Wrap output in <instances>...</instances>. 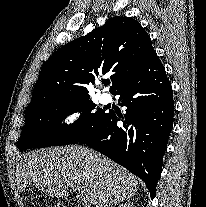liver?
I'll use <instances>...</instances> for the list:
<instances>
[{
  "mask_svg": "<svg viewBox=\"0 0 206 207\" xmlns=\"http://www.w3.org/2000/svg\"><path fill=\"white\" fill-rule=\"evenodd\" d=\"M17 187L29 185L47 195L66 197L70 185L80 187L94 207H108L133 197L136 177L107 157L82 146L34 150L16 168Z\"/></svg>",
  "mask_w": 206,
  "mask_h": 207,
  "instance_id": "6515ba94",
  "label": "liver"
}]
</instances>
